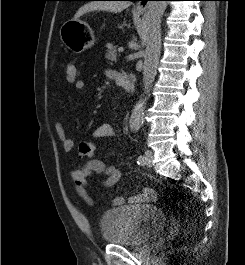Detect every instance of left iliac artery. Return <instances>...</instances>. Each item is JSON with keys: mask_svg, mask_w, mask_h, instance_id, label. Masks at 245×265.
Wrapping results in <instances>:
<instances>
[{"mask_svg": "<svg viewBox=\"0 0 245 265\" xmlns=\"http://www.w3.org/2000/svg\"><path fill=\"white\" fill-rule=\"evenodd\" d=\"M144 160H145V157L140 155L138 158H137V163L138 165H143L144 164Z\"/></svg>", "mask_w": 245, "mask_h": 265, "instance_id": "left-iliac-artery-1", "label": "left iliac artery"}]
</instances>
